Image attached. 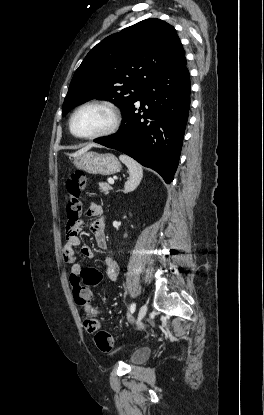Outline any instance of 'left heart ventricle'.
I'll return each instance as SVG.
<instances>
[{
	"mask_svg": "<svg viewBox=\"0 0 264 415\" xmlns=\"http://www.w3.org/2000/svg\"><path fill=\"white\" fill-rule=\"evenodd\" d=\"M111 114L100 107L82 109L74 119V130L80 135H92L105 130L111 124Z\"/></svg>",
	"mask_w": 264,
	"mask_h": 415,
	"instance_id": "left-heart-ventricle-1",
	"label": "left heart ventricle"
}]
</instances>
